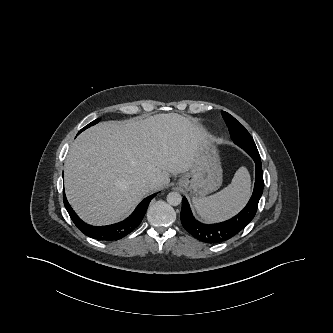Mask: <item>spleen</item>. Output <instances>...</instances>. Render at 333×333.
I'll list each match as a JSON object with an SVG mask.
<instances>
[{
	"mask_svg": "<svg viewBox=\"0 0 333 333\" xmlns=\"http://www.w3.org/2000/svg\"><path fill=\"white\" fill-rule=\"evenodd\" d=\"M250 191V175L245 167H240L227 187L214 195L194 198L192 202L202 219L217 222L239 212L246 204Z\"/></svg>",
	"mask_w": 333,
	"mask_h": 333,
	"instance_id": "3e777b00",
	"label": "spleen"
}]
</instances>
